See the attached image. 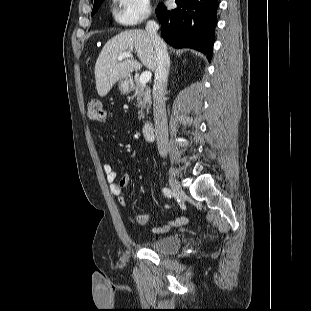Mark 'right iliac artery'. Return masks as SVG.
I'll return each mask as SVG.
<instances>
[{
	"label": "right iliac artery",
	"instance_id": "1",
	"mask_svg": "<svg viewBox=\"0 0 311 311\" xmlns=\"http://www.w3.org/2000/svg\"><path fill=\"white\" fill-rule=\"evenodd\" d=\"M163 194L168 197V198H171L173 197V192L169 189V188H163Z\"/></svg>",
	"mask_w": 311,
	"mask_h": 311
}]
</instances>
